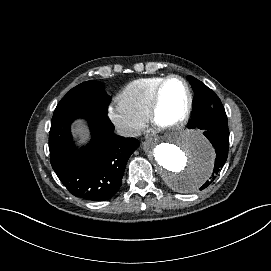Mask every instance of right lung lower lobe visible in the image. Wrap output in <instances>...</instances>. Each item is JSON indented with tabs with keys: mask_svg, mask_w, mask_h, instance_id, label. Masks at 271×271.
<instances>
[{
	"mask_svg": "<svg viewBox=\"0 0 271 271\" xmlns=\"http://www.w3.org/2000/svg\"><path fill=\"white\" fill-rule=\"evenodd\" d=\"M77 118L87 120L92 134L90 142L81 149L75 147L70 132V125ZM113 131L107 112L94 108H69L53 115L49 133L50 162L73 195L103 201L119 190L126 163L139 141L120 137Z\"/></svg>",
	"mask_w": 271,
	"mask_h": 271,
	"instance_id": "1",
	"label": "right lung lower lobe"
}]
</instances>
